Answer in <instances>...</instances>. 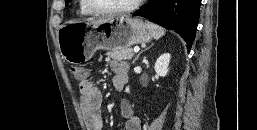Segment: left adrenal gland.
<instances>
[{"mask_svg": "<svg viewBox=\"0 0 257 130\" xmlns=\"http://www.w3.org/2000/svg\"><path fill=\"white\" fill-rule=\"evenodd\" d=\"M151 46H152V45H151ZM151 46H150V47H151ZM150 47L146 48L145 50L149 49ZM145 50H142V51L136 56V58L133 60L132 64L135 63V61L139 58V56L141 55V53L144 52Z\"/></svg>", "mask_w": 257, "mask_h": 130, "instance_id": "obj_1", "label": "left adrenal gland"}]
</instances>
